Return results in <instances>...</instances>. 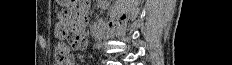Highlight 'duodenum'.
Returning a JSON list of instances; mask_svg holds the SVG:
<instances>
[{
    "mask_svg": "<svg viewBox=\"0 0 232 65\" xmlns=\"http://www.w3.org/2000/svg\"><path fill=\"white\" fill-rule=\"evenodd\" d=\"M85 29H86V22L85 19L82 17L78 23V31L79 33H81V36H83Z\"/></svg>",
    "mask_w": 232,
    "mask_h": 65,
    "instance_id": "duodenum-1",
    "label": "duodenum"
}]
</instances>
